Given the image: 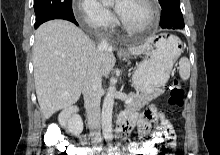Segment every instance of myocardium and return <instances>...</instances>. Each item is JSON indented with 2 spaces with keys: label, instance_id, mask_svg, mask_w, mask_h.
Returning a JSON list of instances; mask_svg holds the SVG:
<instances>
[{
  "label": "myocardium",
  "instance_id": "1",
  "mask_svg": "<svg viewBox=\"0 0 220 155\" xmlns=\"http://www.w3.org/2000/svg\"><path fill=\"white\" fill-rule=\"evenodd\" d=\"M143 2L147 5V7L149 9V18H148V20L142 26L134 27V26L128 25L120 17L119 18L120 24L123 27V29H125L126 31H129V32H143V31L149 29L151 26H153L154 23L156 22L157 14H158L156 0H143Z\"/></svg>",
  "mask_w": 220,
  "mask_h": 155
}]
</instances>
